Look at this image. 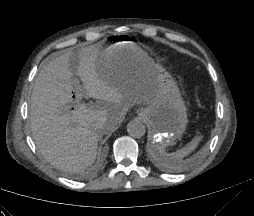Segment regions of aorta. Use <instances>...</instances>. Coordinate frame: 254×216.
Segmentation results:
<instances>
[{
    "label": "aorta",
    "instance_id": "obj_1",
    "mask_svg": "<svg viewBox=\"0 0 254 216\" xmlns=\"http://www.w3.org/2000/svg\"><path fill=\"white\" fill-rule=\"evenodd\" d=\"M127 132L133 138H141L146 133V127L141 121L132 120L127 124Z\"/></svg>",
    "mask_w": 254,
    "mask_h": 216
}]
</instances>
